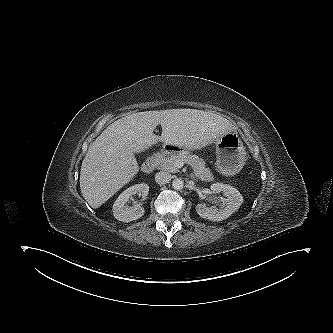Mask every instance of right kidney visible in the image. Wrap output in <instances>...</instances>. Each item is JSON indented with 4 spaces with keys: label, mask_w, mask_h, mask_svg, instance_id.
Returning <instances> with one entry per match:
<instances>
[{
    "label": "right kidney",
    "mask_w": 333,
    "mask_h": 333,
    "mask_svg": "<svg viewBox=\"0 0 333 333\" xmlns=\"http://www.w3.org/2000/svg\"><path fill=\"white\" fill-rule=\"evenodd\" d=\"M149 191V186L145 183L136 184L127 188L124 192L120 194L113 205V215L114 217L123 222H130L137 220L142 217L145 213V209L139 205L135 204L133 206H128L127 202L129 199L135 195L147 196Z\"/></svg>",
    "instance_id": "right-kidney-1"
}]
</instances>
